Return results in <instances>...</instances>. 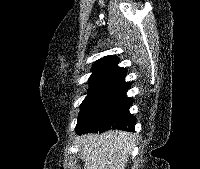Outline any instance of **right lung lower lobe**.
Masks as SVG:
<instances>
[{
  "mask_svg": "<svg viewBox=\"0 0 200 169\" xmlns=\"http://www.w3.org/2000/svg\"><path fill=\"white\" fill-rule=\"evenodd\" d=\"M129 85L127 82L115 85L108 100L76 132L84 134L102 133L110 129L134 130L136 118L129 112L132 100L126 95Z\"/></svg>",
  "mask_w": 200,
  "mask_h": 169,
  "instance_id": "obj_1",
  "label": "right lung lower lobe"
}]
</instances>
